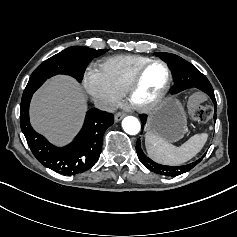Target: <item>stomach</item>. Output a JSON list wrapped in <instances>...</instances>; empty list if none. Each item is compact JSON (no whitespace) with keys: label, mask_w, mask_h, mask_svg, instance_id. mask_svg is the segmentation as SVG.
I'll list each match as a JSON object with an SVG mask.
<instances>
[{"label":"stomach","mask_w":237,"mask_h":237,"mask_svg":"<svg viewBox=\"0 0 237 237\" xmlns=\"http://www.w3.org/2000/svg\"><path fill=\"white\" fill-rule=\"evenodd\" d=\"M148 130L160 134L167 142H176L186 133V119L180 104L166 98L150 112Z\"/></svg>","instance_id":"stomach-1"}]
</instances>
